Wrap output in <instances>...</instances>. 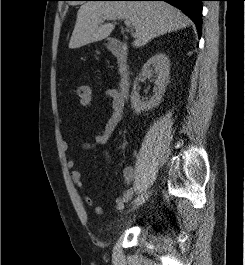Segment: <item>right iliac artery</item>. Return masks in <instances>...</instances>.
Segmentation results:
<instances>
[{
	"mask_svg": "<svg viewBox=\"0 0 245 265\" xmlns=\"http://www.w3.org/2000/svg\"><path fill=\"white\" fill-rule=\"evenodd\" d=\"M117 209L123 210L124 209V204L123 203L117 204Z\"/></svg>",
	"mask_w": 245,
	"mask_h": 265,
	"instance_id": "82829eb1",
	"label": "right iliac artery"
}]
</instances>
